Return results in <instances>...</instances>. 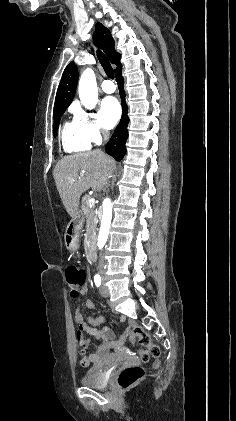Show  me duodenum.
I'll return each instance as SVG.
<instances>
[{"mask_svg": "<svg viewBox=\"0 0 236 421\" xmlns=\"http://www.w3.org/2000/svg\"><path fill=\"white\" fill-rule=\"evenodd\" d=\"M96 242H97V236L96 234H93L90 237L89 245H88V255L91 260H95L96 258ZM83 330L89 331V329H87L86 326L83 324L80 327V331H78V337H79L78 340L81 345L85 346L87 344V341L83 337ZM90 331H91V334L96 335L98 337H100L101 334L103 333V331H98L96 329H90ZM123 342L124 340L121 339L120 342L117 344V346H121ZM111 346L112 344L110 343H106L99 346L98 352L90 356L91 361L95 362L97 366H102L104 364H112L118 356L108 354L109 348Z\"/></svg>", "mask_w": 236, "mask_h": 421, "instance_id": "1", "label": "duodenum"}]
</instances>
